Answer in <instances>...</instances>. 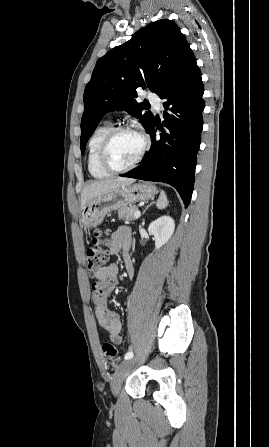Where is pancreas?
<instances>
[{
    "label": "pancreas",
    "instance_id": "pancreas-1",
    "mask_svg": "<svg viewBox=\"0 0 269 447\" xmlns=\"http://www.w3.org/2000/svg\"><path fill=\"white\" fill-rule=\"evenodd\" d=\"M136 206H126V208H120L118 210V218H123V220H136L134 216Z\"/></svg>",
    "mask_w": 269,
    "mask_h": 447
}]
</instances>
